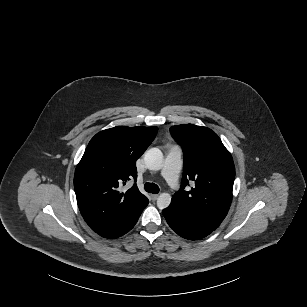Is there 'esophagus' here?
Masks as SVG:
<instances>
[{
  "label": "esophagus",
  "mask_w": 307,
  "mask_h": 307,
  "mask_svg": "<svg viewBox=\"0 0 307 307\" xmlns=\"http://www.w3.org/2000/svg\"><path fill=\"white\" fill-rule=\"evenodd\" d=\"M151 200L154 202L158 198L157 194H150Z\"/></svg>",
  "instance_id": "esophagus-1"
}]
</instances>
